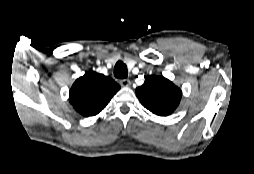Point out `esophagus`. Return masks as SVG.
Returning a JSON list of instances; mask_svg holds the SVG:
<instances>
[{
    "label": "esophagus",
    "mask_w": 254,
    "mask_h": 174,
    "mask_svg": "<svg viewBox=\"0 0 254 174\" xmlns=\"http://www.w3.org/2000/svg\"><path fill=\"white\" fill-rule=\"evenodd\" d=\"M119 83L122 87H130L131 86V81L128 79H122L119 81Z\"/></svg>",
    "instance_id": "34e87169"
}]
</instances>
